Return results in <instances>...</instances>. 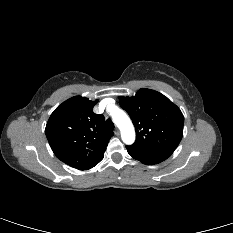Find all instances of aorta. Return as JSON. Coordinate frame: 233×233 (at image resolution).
Instances as JSON below:
<instances>
[{"mask_svg":"<svg viewBox=\"0 0 233 233\" xmlns=\"http://www.w3.org/2000/svg\"><path fill=\"white\" fill-rule=\"evenodd\" d=\"M111 117L121 131L122 141L126 145H132L135 141V129L129 116L123 110L116 108L111 113Z\"/></svg>","mask_w":233,"mask_h":233,"instance_id":"obj_1","label":"aorta"}]
</instances>
